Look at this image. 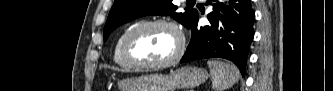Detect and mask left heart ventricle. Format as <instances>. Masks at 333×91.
I'll return each mask as SVG.
<instances>
[{
  "mask_svg": "<svg viewBox=\"0 0 333 91\" xmlns=\"http://www.w3.org/2000/svg\"><path fill=\"white\" fill-rule=\"evenodd\" d=\"M178 38L168 27L156 26L140 31L133 39L132 53L144 62L168 60L176 52Z\"/></svg>",
  "mask_w": 333,
  "mask_h": 91,
  "instance_id": "obj_1",
  "label": "left heart ventricle"
}]
</instances>
